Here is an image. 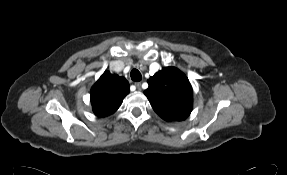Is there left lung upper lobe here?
<instances>
[{
    "instance_id": "1",
    "label": "left lung upper lobe",
    "mask_w": 287,
    "mask_h": 175,
    "mask_svg": "<svg viewBox=\"0 0 287 175\" xmlns=\"http://www.w3.org/2000/svg\"><path fill=\"white\" fill-rule=\"evenodd\" d=\"M144 91L154 111L164 120L182 121L192 111L193 92L186 75L175 67H166L147 81Z\"/></svg>"
}]
</instances>
